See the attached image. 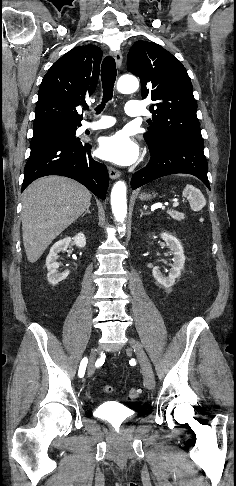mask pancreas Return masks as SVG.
Listing matches in <instances>:
<instances>
[{"instance_id":"1","label":"pancreas","mask_w":236,"mask_h":486,"mask_svg":"<svg viewBox=\"0 0 236 486\" xmlns=\"http://www.w3.org/2000/svg\"><path fill=\"white\" fill-rule=\"evenodd\" d=\"M168 215H170L173 219L177 221H181L185 218L184 213L178 212V211H169Z\"/></svg>"}]
</instances>
